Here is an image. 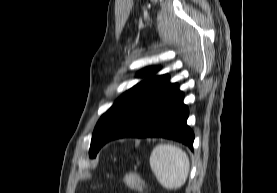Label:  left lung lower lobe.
<instances>
[{
	"label": "left lung lower lobe",
	"mask_w": 277,
	"mask_h": 193,
	"mask_svg": "<svg viewBox=\"0 0 277 193\" xmlns=\"http://www.w3.org/2000/svg\"><path fill=\"white\" fill-rule=\"evenodd\" d=\"M183 92L169 79L147 92L115 119L101 139V147L123 137H163L193 149L194 133L187 126L189 111Z\"/></svg>",
	"instance_id": "1"
}]
</instances>
